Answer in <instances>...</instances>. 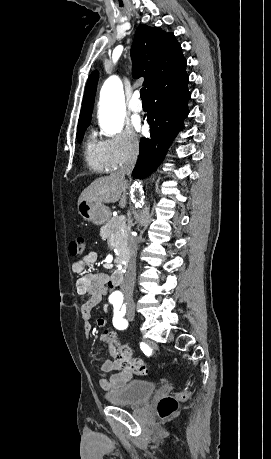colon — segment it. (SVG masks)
Listing matches in <instances>:
<instances>
[{
  "label": "colon",
  "mask_w": 271,
  "mask_h": 459,
  "mask_svg": "<svg viewBox=\"0 0 271 459\" xmlns=\"http://www.w3.org/2000/svg\"><path fill=\"white\" fill-rule=\"evenodd\" d=\"M69 251L72 256H82L86 252L85 239L78 237L69 245ZM104 336L109 347L111 356L120 363L121 367L129 370L136 375H144L147 372V366L140 358L132 356V351L127 345L121 344L117 336L112 331H106ZM187 397V393L180 392L175 395H170L162 398L157 405V412L161 418L172 416L177 408L180 400Z\"/></svg>",
  "instance_id": "obj_1"
}]
</instances>
